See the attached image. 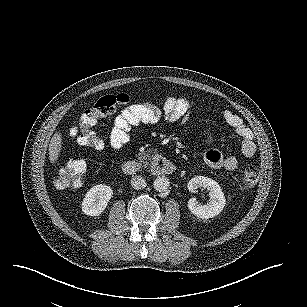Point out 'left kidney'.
<instances>
[{
    "instance_id": "obj_1",
    "label": "left kidney",
    "mask_w": 307,
    "mask_h": 307,
    "mask_svg": "<svg viewBox=\"0 0 307 307\" xmlns=\"http://www.w3.org/2000/svg\"><path fill=\"white\" fill-rule=\"evenodd\" d=\"M187 188L191 193H197L198 188L206 189L209 192L210 199L205 205L199 203L194 197L188 200V209L198 218H213L225 207L226 199L224 193L220 185L213 179L204 176H195L189 180Z\"/></svg>"
}]
</instances>
